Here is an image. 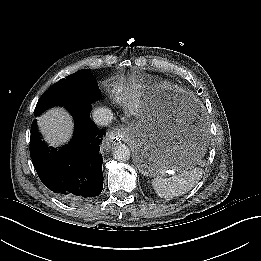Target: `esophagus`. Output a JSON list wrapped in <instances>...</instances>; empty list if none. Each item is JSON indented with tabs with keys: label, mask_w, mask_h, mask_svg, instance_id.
<instances>
[{
	"label": "esophagus",
	"mask_w": 261,
	"mask_h": 261,
	"mask_svg": "<svg viewBox=\"0 0 261 261\" xmlns=\"http://www.w3.org/2000/svg\"><path fill=\"white\" fill-rule=\"evenodd\" d=\"M124 133L123 128L110 132L106 139V145L103 148L108 150L111 146L116 145L123 138Z\"/></svg>",
	"instance_id": "obj_1"
}]
</instances>
